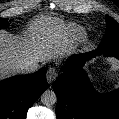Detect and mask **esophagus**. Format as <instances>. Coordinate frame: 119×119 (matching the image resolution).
Instances as JSON below:
<instances>
[{
    "label": "esophagus",
    "instance_id": "1",
    "mask_svg": "<svg viewBox=\"0 0 119 119\" xmlns=\"http://www.w3.org/2000/svg\"><path fill=\"white\" fill-rule=\"evenodd\" d=\"M58 76V71L56 68H49L47 71L46 79L49 84H51Z\"/></svg>",
    "mask_w": 119,
    "mask_h": 119
}]
</instances>
